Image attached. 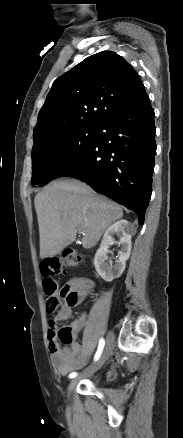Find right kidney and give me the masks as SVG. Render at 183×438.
<instances>
[{
    "instance_id": "right-kidney-1",
    "label": "right kidney",
    "mask_w": 183,
    "mask_h": 438,
    "mask_svg": "<svg viewBox=\"0 0 183 438\" xmlns=\"http://www.w3.org/2000/svg\"><path fill=\"white\" fill-rule=\"evenodd\" d=\"M134 233V225L124 219L112 224L104 233L100 248L94 257V265L97 273L105 281L110 282L123 273L126 261L130 256L131 237ZM115 234L120 238L118 244L121 248L118 253L119 257L113 264L112 261L107 262L106 260H108L107 253L109 244L114 242L113 235Z\"/></svg>"
}]
</instances>
